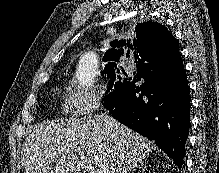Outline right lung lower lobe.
<instances>
[{
    "label": "right lung lower lobe",
    "instance_id": "1",
    "mask_svg": "<svg viewBox=\"0 0 219 173\" xmlns=\"http://www.w3.org/2000/svg\"><path fill=\"white\" fill-rule=\"evenodd\" d=\"M105 108L116 120L154 141L182 168L191 107L181 58L173 65L153 58L142 63Z\"/></svg>",
    "mask_w": 219,
    "mask_h": 173
}]
</instances>
